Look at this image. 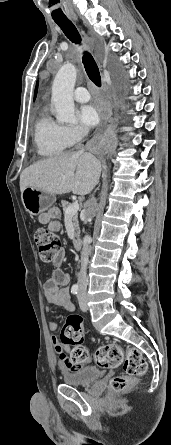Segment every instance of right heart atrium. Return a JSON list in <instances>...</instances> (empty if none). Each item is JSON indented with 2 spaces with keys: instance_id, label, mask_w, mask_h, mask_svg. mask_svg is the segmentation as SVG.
Masks as SVG:
<instances>
[{
  "instance_id": "1",
  "label": "right heart atrium",
  "mask_w": 171,
  "mask_h": 445,
  "mask_svg": "<svg viewBox=\"0 0 171 445\" xmlns=\"http://www.w3.org/2000/svg\"><path fill=\"white\" fill-rule=\"evenodd\" d=\"M63 131L69 144L80 142L86 135V131L78 126H64Z\"/></svg>"
}]
</instances>
